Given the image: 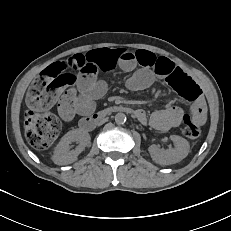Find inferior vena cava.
I'll return each mask as SVG.
<instances>
[{
    "label": "inferior vena cava",
    "mask_w": 231,
    "mask_h": 231,
    "mask_svg": "<svg viewBox=\"0 0 231 231\" xmlns=\"http://www.w3.org/2000/svg\"><path fill=\"white\" fill-rule=\"evenodd\" d=\"M107 122H110V117H104L98 121V126H103Z\"/></svg>",
    "instance_id": "1"
}]
</instances>
